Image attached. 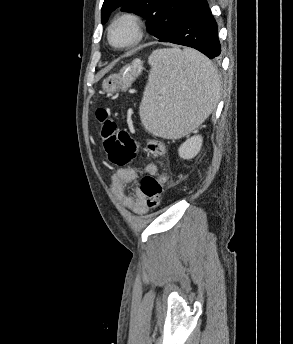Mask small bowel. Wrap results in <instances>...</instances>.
Here are the masks:
<instances>
[{
	"instance_id": "c3829d8e",
	"label": "small bowel",
	"mask_w": 293,
	"mask_h": 344,
	"mask_svg": "<svg viewBox=\"0 0 293 344\" xmlns=\"http://www.w3.org/2000/svg\"><path fill=\"white\" fill-rule=\"evenodd\" d=\"M144 172L147 174L157 173V167L153 163H144L140 167H129L120 169L116 172V177L122 187L133 186L132 192L126 193L123 189L119 193V198L122 204L137 214H144L147 210L145 204V197L136 186L138 178V172Z\"/></svg>"
}]
</instances>
